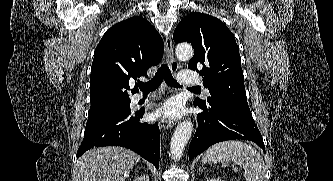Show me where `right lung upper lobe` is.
I'll return each mask as SVG.
<instances>
[{
  "label": "right lung upper lobe",
  "mask_w": 333,
  "mask_h": 181,
  "mask_svg": "<svg viewBox=\"0 0 333 181\" xmlns=\"http://www.w3.org/2000/svg\"><path fill=\"white\" fill-rule=\"evenodd\" d=\"M164 43L159 33L144 18L131 17L112 26L94 52L91 67L90 110L130 100L129 81L147 77V70L158 64ZM132 93L138 91L135 86Z\"/></svg>",
  "instance_id": "obj_1"
}]
</instances>
